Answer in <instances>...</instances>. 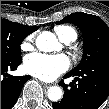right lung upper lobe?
Returning <instances> with one entry per match:
<instances>
[{
  "mask_svg": "<svg viewBox=\"0 0 109 109\" xmlns=\"http://www.w3.org/2000/svg\"><path fill=\"white\" fill-rule=\"evenodd\" d=\"M28 27H30V29L33 30V32L36 31V30L38 29L37 26H28Z\"/></svg>",
  "mask_w": 109,
  "mask_h": 109,
  "instance_id": "obj_1",
  "label": "right lung upper lobe"
}]
</instances>
